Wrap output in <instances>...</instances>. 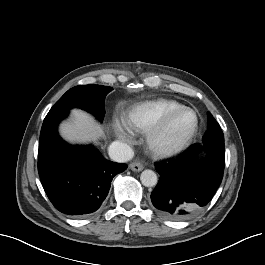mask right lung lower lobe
<instances>
[{
    "mask_svg": "<svg viewBox=\"0 0 265 265\" xmlns=\"http://www.w3.org/2000/svg\"><path fill=\"white\" fill-rule=\"evenodd\" d=\"M69 111L49 112L39 142L38 172L42 186L60 212L84 217L105 200L115 175L126 164L109 161L92 145L72 146L57 133L58 123Z\"/></svg>",
    "mask_w": 265,
    "mask_h": 265,
    "instance_id": "obj_1",
    "label": "right lung lower lobe"
}]
</instances>
